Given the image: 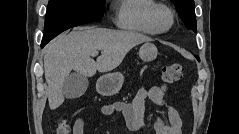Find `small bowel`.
Instances as JSON below:
<instances>
[{
  "instance_id": "1",
  "label": "small bowel",
  "mask_w": 239,
  "mask_h": 134,
  "mask_svg": "<svg viewBox=\"0 0 239 134\" xmlns=\"http://www.w3.org/2000/svg\"><path fill=\"white\" fill-rule=\"evenodd\" d=\"M166 92L160 86L150 89H140L129 102L116 101L101 107L102 114L106 116L121 113L126 121L127 128L131 131L145 133V100L149 99L166 108L167 119L154 118L153 127L156 134H181V118L177 109L165 101ZM85 121L83 117L76 119L72 134H84Z\"/></svg>"
}]
</instances>
